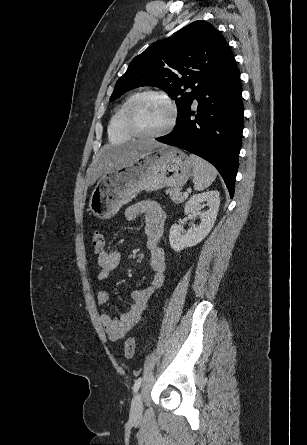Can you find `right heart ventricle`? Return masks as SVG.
Instances as JSON below:
<instances>
[{
    "label": "right heart ventricle",
    "mask_w": 307,
    "mask_h": 445,
    "mask_svg": "<svg viewBox=\"0 0 307 445\" xmlns=\"http://www.w3.org/2000/svg\"><path fill=\"white\" fill-rule=\"evenodd\" d=\"M137 96L134 94L131 96L121 107L115 112V114L111 117L108 134L111 140H132L133 134L129 129L127 122V112L130 103Z\"/></svg>",
    "instance_id": "e07e8e85"
}]
</instances>
